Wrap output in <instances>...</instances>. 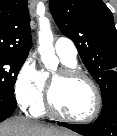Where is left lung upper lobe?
Instances as JSON below:
<instances>
[{
  "label": "left lung upper lobe",
  "mask_w": 117,
  "mask_h": 136,
  "mask_svg": "<svg viewBox=\"0 0 117 136\" xmlns=\"http://www.w3.org/2000/svg\"><path fill=\"white\" fill-rule=\"evenodd\" d=\"M50 12L100 86L105 103L117 94V30L102 0H50Z\"/></svg>",
  "instance_id": "5c2ea615"
}]
</instances>
